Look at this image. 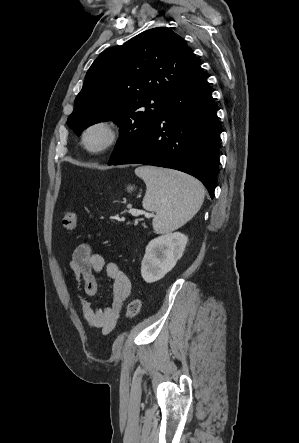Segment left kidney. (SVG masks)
Masks as SVG:
<instances>
[{"label": "left kidney", "instance_id": "left-kidney-1", "mask_svg": "<svg viewBox=\"0 0 299 443\" xmlns=\"http://www.w3.org/2000/svg\"><path fill=\"white\" fill-rule=\"evenodd\" d=\"M188 242L180 232L167 233L151 240L146 246L141 275L147 283L162 279L182 257Z\"/></svg>", "mask_w": 299, "mask_h": 443}]
</instances>
